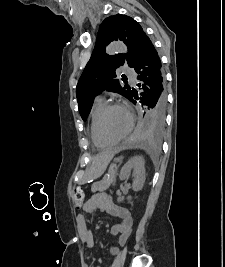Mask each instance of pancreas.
<instances>
[{"mask_svg":"<svg viewBox=\"0 0 225 267\" xmlns=\"http://www.w3.org/2000/svg\"><path fill=\"white\" fill-rule=\"evenodd\" d=\"M113 166L114 165L110 166L108 173L104 176V178L101 181L95 182L94 184H92L91 191L93 193H95L97 191L103 192V191L107 190L111 184L115 183L117 168L113 167Z\"/></svg>","mask_w":225,"mask_h":267,"instance_id":"obj_1","label":"pancreas"}]
</instances>
